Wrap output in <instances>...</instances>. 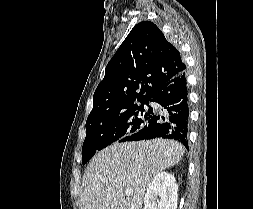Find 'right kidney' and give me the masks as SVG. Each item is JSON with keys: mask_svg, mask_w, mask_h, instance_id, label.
<instances>
[{"mask_svg": "<svg viewBox=\"0 0 253 209\" xmlns=\"http://www.w3.org/2000/svg\"><path fill=\"white\" fill-rule=\"evenodd\" d=\"M177 200L178 186L175 177L168 172H160L147 188L144 209H177Z\"/></svg>", "mask_w": 253, "mask_h": 209, "instance_id": "ca27d5eb", "label": "right kidney"}]
</instances>
